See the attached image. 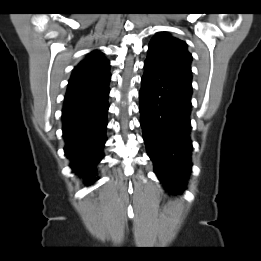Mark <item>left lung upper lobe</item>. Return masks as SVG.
Returning a JSON list of instances; mask_svg holds the SVG:
<instances>
[{
	"label": "left lung upper lobe",
	"mask_w": 261,
	"mask_h": 261,
	"mask_svg": "<svg viewBox=\"0 0 261 261\" xmlns=\"http://www.w3.org/2000/svg\"><path fill=\"white\" fill-rule=\"evenodd\" d=\"M192 55L184 41L167 33H158L150 42L145 62L159 69L187 77L192 80Z\"/></svg>",
	"instance_id": "1"
}]
</instances>
